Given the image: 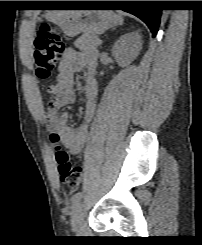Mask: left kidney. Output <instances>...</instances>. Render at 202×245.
Masks as SVG:
<instances>
[{
	"label": "left kidney",
	"instance_id": "5707ae66",
	"mask_svg": "<svg viewBox=\"0 0 202 245\" xmlns=\"http://www.w3.org/2000/svg\"><path fill=\"white\" fill-rule=\"evenodd\" d=\"M142 43V37L138 32L124 34L114 44L112 55L121 66H126L139 55Z\"/></svg>",
	"mask_w": 202,
	"mask_h": 245
}]
</instances>
